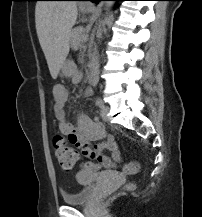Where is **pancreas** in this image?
Instances as JSON below:
<instances>
[{
	"mask_svg": "<svg viewBox=\"0 0 202 217\" xmlns=\"http://www.w3.org/2000/svg\"><path fill=\"white\" fill-rule=\"evenodd\" d=\"M88 38V33L82 27L74 28L71 32V47L78 49Z\"/></svg>",
	"mask_w": 202,
	"mask_h": 217,
	"instance_id": "pancreas-1",
	"label": "pancreas"
}]
</instances>
